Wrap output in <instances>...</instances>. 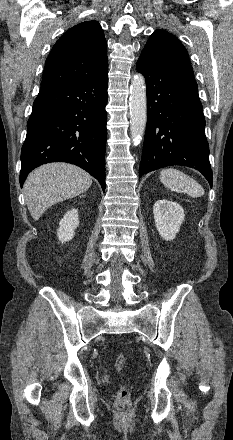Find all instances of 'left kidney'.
<instances>
[{
	"label": "left kidney",
	"instance_id": "1",
	"mask_svg": "<svg viewBox=\"0 0 233 440\" xmlns=\"http://www.w3.org/2000/svg\"><path fill=\"white\" fill-rule=\"evenodd\" d=\"M153 214L160 236L166 241L173 240L184 221L183 208L176 202L161 199L154 204Z\"/></svg>",
	"mask_w": 233,
	"mask_h": 440
}]
</instances>
